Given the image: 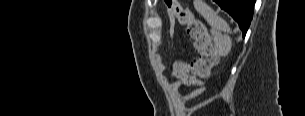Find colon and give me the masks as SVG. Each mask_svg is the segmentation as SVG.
<instances>
[{
	"mask_svg": "<svg viewBox=\"0 0 305 116\" xmlns=\"http://www.w3.org/2000/svg\"><path fill=\"white\" fill-rule=\"evenodd\" d=\"M165 2L174 17L187 27L197 52V56L191 62L176 63L173 67V75L186 85L203 86L217 62L213 43L205 26L195 18L191 10L184 8L177 0H166Z\"/></svg>",
	"mask_w": 305,
	"mask_h": 116,
	"instance_id": "colon-1",
	"label": "colon"
}]
</instances>
